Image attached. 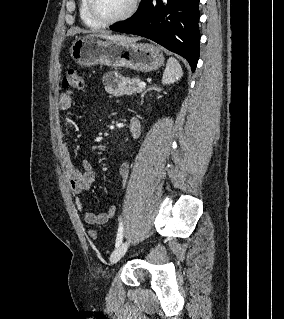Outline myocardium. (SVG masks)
Instances as JSON below:
<instances>
[{
    "instance_id": "myocardium-1",
    "label": "myocardium",
    "mask_w": 284,
    "mask_h": 319,
    "mask_svg": "<svg viewBox=\"0 0 284 319\" xmlns=\"http://www.w3.org/2000/svg\"><path fill=\"white\" fill-rule=\"evenodd\" d=\"M138 1L139 0H131L129 7L126 9L124 13L111 19L104 18L103 16L99 14L96 8V0H88L87 6H88L89 14L95 21H97L103 26H110V25L120 23L129 19L134 14L137 8Z\"/></svg>"
}]
</instances>
